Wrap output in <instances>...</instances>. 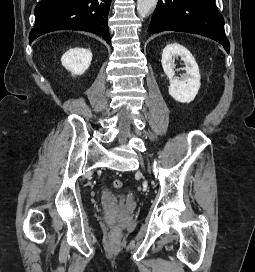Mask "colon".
<instances>
[{
	"instance_id": "obj_1",
	"label": "colon",
	"mask_w": 255,
	"mask_h": 272,
	"mask_svg": "<svg viewBox=\"0 0 255 272\" xmlns=\"http://www.w3.org/2000/svg\"><path fill=\"white\" fill-rule=\"evenodd\" d=\"M122 186H123L122 180H120V179H115V180L113 181V187H114V188L120 189V188H122Z\"/></svg>"
}]
</instances>
